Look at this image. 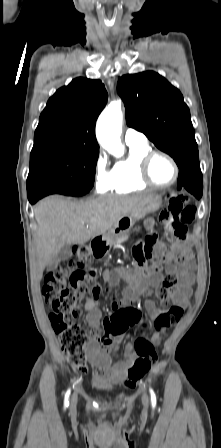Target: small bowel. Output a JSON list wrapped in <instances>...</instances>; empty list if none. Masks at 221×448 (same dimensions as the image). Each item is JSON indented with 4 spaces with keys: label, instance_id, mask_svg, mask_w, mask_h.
I'll use <instances>...</instances> for the list:
<instances>
[{
    "label": "small bowel",
    "instance_id": "small-bowel-1",
    "mask_svg": "<svg viewBox=\"0 0 221 448\" xmlns=\"http://www.w3.org/2000/svg\"><path fill=\"white\" fill-rule=\"evenodd\" d=\"M147 228L153 233L152 221H147ZM191 242L188 238L183 240L177 239L172 244V249L169 254H165V243L163 241H156L154 250L157 256L164 257L167 260V271L175 272L179 277V284L173 290L171 298L174 305L186 307L191 292V284L193 283L192 266L188 259L177 261L178 256H190ZM138 271L142 272L143 279L136 277L130 280L129 285L122 291V297L119 302L113 303V312L109 318L104 319L102 311L99 307L100 288L95 290L93 296L84 297V308L87 312L86 321L92 331L93 340L89 342L86 348V355L89 362L94 366L96 371L104 374L111 382H122L132 363L137 359V353L133 351V347L128 344L124 350V356L120 360H113L109 353L118 350V343L123 338L129 325H125L128 316L126 310L131 306L137 297L138 289L141 286L155 288L162 282L159 270L146 269L143 265L138 264ZM120 274H106L105 279L114 285L119 280ZM147 312L155 319L164 312L163 309L157 307L152 300H148L145 304ZM108 323L111 326L110 330L101 329L102 322ZM164 331L163 333H165ZM142 340L148 341L147 338L141 337ZM151 341L155 345H159L161 337L154 335ZM137 343H135L136 346ZM136 351V350H135Z\"/></svg>",
    "mask_w": 221,
    "mask_h": 448
}]
</instances>
